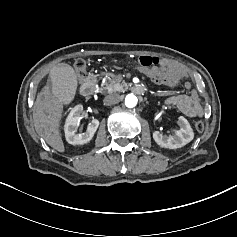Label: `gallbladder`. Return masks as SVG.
<instances>
[{
  "label": "gallbladder",
  "mask_w": 237,
  "mask_h": 237,
  "mask_svg": "<svg viewBox=\"0 0 237 237\" xmlns=\"http://www.w3.org/2000/svg\"><path fill=\"white\" fill-rule=\"evenodd\" d=\"M77 78L70 65L54 66L51 72V88L62 105H68L75 98Z\"/></svg>",
  "instance_id": "gallbladder-1"
}]
</instances>
